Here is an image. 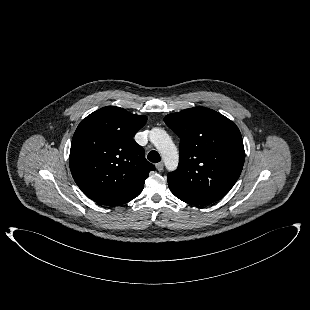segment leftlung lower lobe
<instances>
[{
  "instance_id": "0a47b994",
  "label": "left lung lower lobe",
  "mask_w": 310,
  "mask_h": 310,
  "mask_svg": "<svg viewBox=\"0 0 310 310\" xmlns=\"http://www.w3.org/2000/svg\"><path fill=\"white\" fill-rule=\"evenodd\" d=\"M170 190L172 191V193L177 197L179 198L180 200L188 203V204H192V205H207V204H211L212 200H208V199H205V198H199V197H195V196H192V195H187V194H183L181 193L180 191L178 190H175L171 187H169Z\"/></svg>"
}]
</instances>
